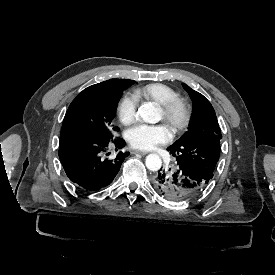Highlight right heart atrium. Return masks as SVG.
Wrapping results in <instances>:
<instances>
[{
  "label": "right heart atrium",
  "mask_w": 275,
  "mask_h": 275,
  "mask_svg": "<svg viewBox=\"0 0 275 275\" xmlns=\"http://www.w3.org/2000/svg\"><path fill=\"white\" fill-rule=\"evenodd\" d=\"M139 105L138 98L133 94H125L118 104V117L120 121L128 125L132 123L136 118V111Z\"/></svg>",
  "instance_id": "obj_1"
}]
</instances>
